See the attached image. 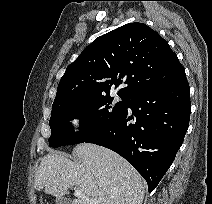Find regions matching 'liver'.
Segmentation results:
<instances>
[{"label": "liver", "mask_w": 212, "mask_h": 204, "mask_svg": "<svg viewBox=\"0 0 212 204\" xmlns=\"http://www.w3.org/2000/svg\"><path fill=\"white\" fill-rule=\"evenodd\" d=\"M74 162L50 152L42 159L34 186L37 191L63 197L69 187L83 190L72 204H142L144 182L134 167L117 153L89 143L77 145Z\"/></svg>", "instance_id": "6515ba94"}]
</instances>
